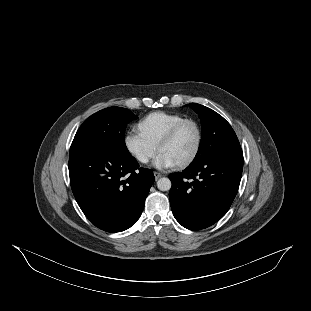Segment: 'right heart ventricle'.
Masks as SVG:
<instances>
[{
	"label": "right heart ventricle",
	"mask_w": 311,
	"mask_h": 311,
	"mask_svg": "<svg viewBox=\"0 0 311 311\" xmlns=\"http://www.w3.org/2000/svg\"><path fill=\"white\" fill-rule=\"evenodd\" d=\"M183 117L178 113L152 112L140 119L136 128L150 145L157 147L162 137Z\"/></svg>",
	"instance_id": "e07e8e85"
}]
</instances>
